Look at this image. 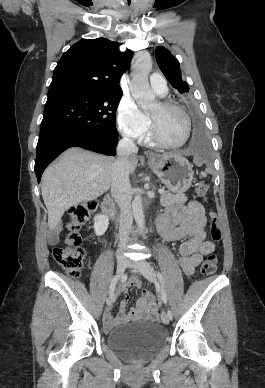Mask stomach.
<instances>
[{
    "instance_id": "obj_1",
    "label": "stomach",
    "mask_w": 265,
    "mask_h": 388,
    "mask_svg": "<svg viewBox=\"0 0 265 388\" xmlns=\"http://www.w3.org/2000/svg\"><path fill=\"white\" fill-rule=\"evenodd\" d=\"M148 164L169 190L182 193L190 188L194 172L188 160L182 155L177 153L153 155L148 159Z\"/></svg>"
}]
</instances>
